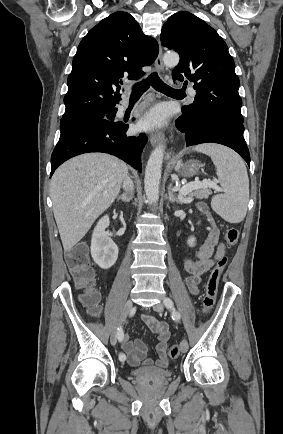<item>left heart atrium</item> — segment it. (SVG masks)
Wrapping results in <instances>:
<instances>
[{"label":"left heart atrium","mask_w":283,"mask_h":434,"mask_svg":"<svg viewBox=\"0 0 283 434\" xmlns=\"http://www.w3.org/2000/svg\"><path fill=\"white\" fill-rule=\"evenodd\" d=\"M169 113L165 106L158 105L152 108L143 117L141 127L144 129H155L165 125L168 121Z\"/></svg>","instance_id":"1"}]
</instances>
